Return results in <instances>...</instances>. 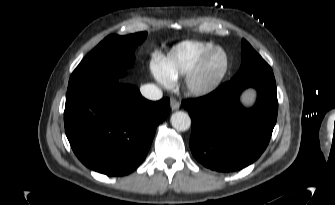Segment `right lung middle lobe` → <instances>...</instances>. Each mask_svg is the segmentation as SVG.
<instances>
[{
    "instance_id": "right-lung-middle-lobe-1",
    "label": "right lung middle lobe",
    "mask_w": 335,
    "mask_h": 205,
    "mask_svg": "<svg viewBox=\"0 0 335 205\" xmlns=\"http://www.w3.org/2000/svg\"><path fill=\"white\" fill-rule=\"evenodd\" d=\"M146 36L147 32L107 36L76 67L69 79L68 87L98 75L123 76V71L134 62L135 48L146 39Z\"/></svg>"
}]
</instances>
